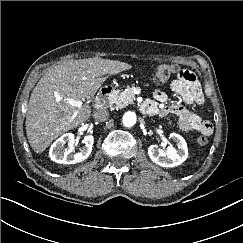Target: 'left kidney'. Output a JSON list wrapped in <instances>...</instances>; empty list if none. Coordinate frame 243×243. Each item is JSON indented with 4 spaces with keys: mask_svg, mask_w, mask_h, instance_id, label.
Listing matches in <instances>:
<instances>
[{
    "mask_svg": "<svg viewBox=\"0 0 243 243\" xmlns=\"http://www.w3.org/2000/svg\"><path fill=\"white\" fill-rule=\"evenodd\" d=\"M169 138L176 143V148L169 146L163 150L156 145H151L148 148L150 159L161 167L178 166L188 157V148L185 139L177 133H171Z\"/></svg>",
    "mask_w": 243,
    "mask_h": 243,
    "instance_id": "5707ae66",
    "label": "left kidney"
}]
</instances>
